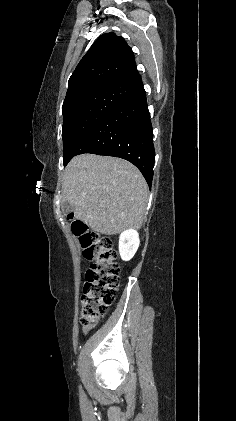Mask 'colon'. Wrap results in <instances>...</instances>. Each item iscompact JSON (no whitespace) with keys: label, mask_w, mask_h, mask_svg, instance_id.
I'll return each instance as SVG.
<instances>
[{"label":"colon","mask_w":236,"mask_h":421,"mask_svg":"<svg viewBox=\"0 0 236 421\" xmlns=\"http://www.w3.org/2000/svg\"><path fill=\"white\" fill-rule=\"evenodd\" d=\"M72 229L79 238L85 258L90 262L80 313L81 324L90 328L103 319L115 300L120 267L115 261L116 252L110 238L88 230L79 220L72 223Z\"/></svg>","instance_id":"obj_1"}]
</instances>
